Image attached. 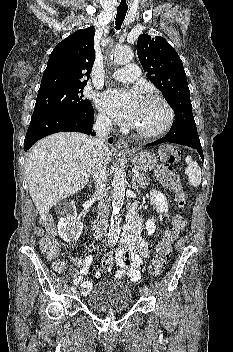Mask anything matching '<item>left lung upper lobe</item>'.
I'll list each match as a JSON object with an SVG mask.
<instances>
[{
    "mask_svg": "<svg viewBox=\"0 0 233 352\" xmlns=\"http://www.w3.org/2000/svg\"><path fill=\"white\" fill-rule=\"evenodd\" d=\"M139 61L146 76L160 89L175 113L170 133H197L192 114L190 90L183 63L175 49L163 38L141 35L136 44Z\"/></svg>",
    "mask_w": 233,
    "mask_h": 352,
    "instance_id": "1",
    "label": "left lung upper lobe"
}]
</instances>
